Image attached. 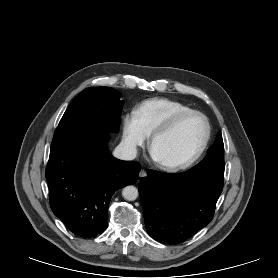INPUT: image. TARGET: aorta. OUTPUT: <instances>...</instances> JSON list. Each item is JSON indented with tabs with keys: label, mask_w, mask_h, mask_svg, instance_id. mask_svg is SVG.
I'll return each mask as SVG.
<instances>
[{
	"label": "aorta",
	"mask_w": 278,
	"mask_h": 278,
	"mask_svg": "<svg viewBox=\"0 0 278 278\" xmlns=\"http://www.w3.org/2000/svg\"><path fill=\"white\" fill-rule=\"evenodd\" d=\"M138 189L132 185L126 186L122 190V196L125 200L134 201L138 197Z\"/></svg>",
	"instance_id": "obj_1"
}]
</instances>
